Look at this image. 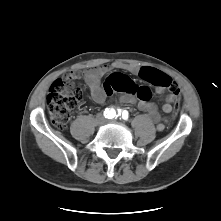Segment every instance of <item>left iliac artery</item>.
<instances>
[{
    "label": "left iliac artery",
    "mask_w": 221,
    "mask_h": 221,
    "mask_svg": "<svg viewBox=\"0 0 221 221\" xmlns=\"http://www.w3.org/2000/svg\"><path fill=\"white\" fill-rule=\"evenodd\" d=\"M121 115V114H120ZM122 118L124 119V120H127L128 119V112L126 111V110H124L123 112H122Z\"/></svg>",
    "instance_id": "44dca946"
}]
</instances>
